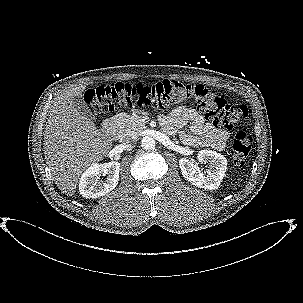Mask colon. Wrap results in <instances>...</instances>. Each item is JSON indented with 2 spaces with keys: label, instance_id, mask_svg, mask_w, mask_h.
<instances>
[{
  "label": "colon",
  "instance_id": "5ec220e1",
  "mask_svg": "<svg viewBox=\"0 0 303 303\" xmlns=\"http://www.w3.org/2000/svg\"><path fill=\"white\" fill-rule=\"evenodd\" d=\"M85 103L97 113H112L132 106L163 109L193 101L215 125L232 128L248 114L244 105L229 104L201 84H184L174 80H161L150 84L115 83L88 89ZM252 150L251 136L238 132L232 144V157L238 166L244 165Z\"/></svg>",
  "mask_w": 303,
  "mask_h": 303
}]
</instances>
